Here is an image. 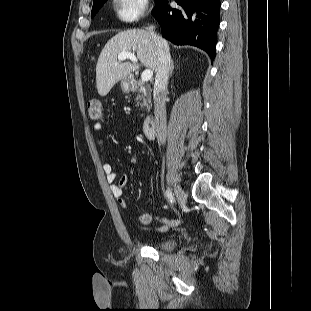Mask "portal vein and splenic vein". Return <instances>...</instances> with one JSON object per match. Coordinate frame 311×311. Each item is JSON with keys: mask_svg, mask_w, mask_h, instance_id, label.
Here are the masks:
<instances>
[{"mask_svg": "<svg viewBox=\"0 0 311 311\" xmlns=\"http://www.w3.org/2000/svg\"><path fill=\"white\" fill-rule=\"evenodd\" d=\"M125 59H130L132 62L137 63L138 59L135 56L134 53L131 52H122L118 55V60L119 61H123ZM153 76V71L150 69H146L145 71H143V73L141 74V81L142 82H147L149 81Z\"/></svg>", "mask_w": 311, "mask_h": 311, "instance_id": "obj_1", "label": "portal vein and splenic vein"}]
</instances>
